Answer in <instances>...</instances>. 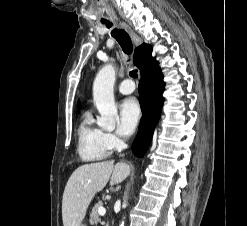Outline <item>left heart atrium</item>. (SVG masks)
<instances>
[{
  "label": "left heart atrium",
  "instance_id": "left-heart-atrium-1",
  "mask_svg": "<svg viewBox=\"0 0 247 226\" xmlns=\"http://www.w3.org/2000/svg\"><path fill=\"white\" fill-rule=\"evenodd\" d=\"M141 114L138 101L133 98L125 99L120 107L119 130L122 134H130L136 128Z\"/></svg>",
  "mask_w": 247,
  "mask_h": 226
}]
</instances>
